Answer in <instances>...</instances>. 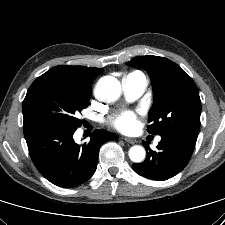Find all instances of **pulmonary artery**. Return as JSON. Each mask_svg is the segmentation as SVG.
I'll return each mask as SVG.
<instances>
[{
  "label": "pulmonary artery",
  "instance_id": "pulmonary-artery-1",
  "mask_svg": "<svg viewBox=\"0 0 225 225\" xmlns=\"http://www.w3.org/2000/svg\"><path fill=\"white\" fill-rule=\"evenodd\" d=\"M123 91L127 99L134 100L141 96L148 85L146 76L141 72H133L122 80ZM160 141L158 137L156 143Z\"/></svg>",
  "mask_w": 225,
  "mask_h": 225
}]
</instances>
